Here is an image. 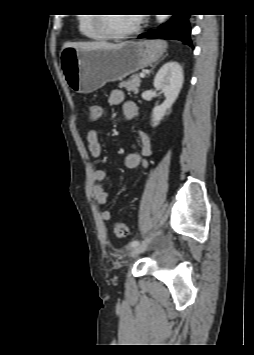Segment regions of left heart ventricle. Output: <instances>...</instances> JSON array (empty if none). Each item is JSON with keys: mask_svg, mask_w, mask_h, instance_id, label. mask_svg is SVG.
<instances>
[{"mask_svg": "<svg viewBox=\"0 0 254 355\" xmlns=\"http://www.w3.org/2000/svg\"><path fill=\"white\" fill-rule=\"evenodd\" d=\"M137 19L130 15H112L107 17L106 24L113 33L125 32L135 26Z\"/></svg>", "mask_w": 254, "mask_h": 355, "instance_id": "obj_1", "label": "left heart ventricle"}]
</instances>
